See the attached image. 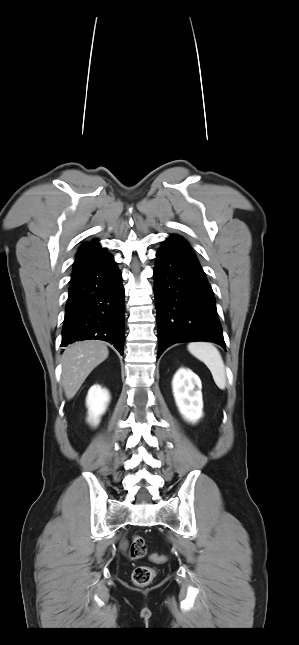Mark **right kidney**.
Here are the masks:
<instances>
[{
    "label": "right kidney",
    "mask_w": 299,
    "mask_h": 645,
    "mask_svg": "<svg viewBox=\"0 0 299 645\" xmlns=\"http://www.w3.org/2000/svg\"><path fill=\"white\" fill-rule=\"evenodd\" d=\"M109 400L108 391L102 389L101 386L94 385L89 389L86 405L88 407V422L93 426H97L99 423L100 416L105 412Z\"/></svg>",
    "instance_id": "ca27d5eb"
}]
</instances>
